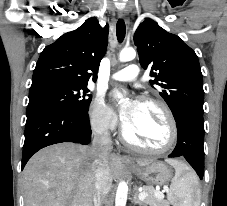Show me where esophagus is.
<instances>
[{
    "instance_id": "obj_1",
    "label": "esophagus",
    "mask_w": 227,
    "mask_h": 206,
    "mask_svg": "<svg viewBox=\"0 0 227 206\" xmlns=\"http://www.w3.org/2000/svg\"><path fill=\"white\" fill-rule=\"evenodd\" d=\"M119 17L121 19H124L126 21V23H129V21L127 19V12H126V10H121L120 13H119ZM122 159L124 161H130V157L128 155H126V154H123L122 155Z\"/></svg>"
}]
</instances>
